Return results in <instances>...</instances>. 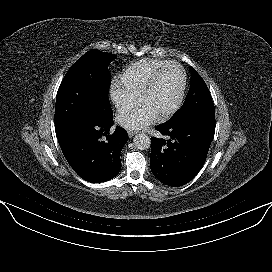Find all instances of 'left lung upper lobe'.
Returning a JSON list of instances; mask_svg holds the SVG:
<instances>
[{
	"mask_svg": "<svg viewBox=\"0 0 272 272\" xmlns=\"http://www.w3.org/2000/svg\"><path fill=\"white\" fill-rule=\"evenodd\" d=\"M191 71V85L181 109L166 123H181L191 118L215 117V108L211 94L202 77L194 68Z\"/></svg>",
	"mask_w": 272,
	"mask_h": 272,
	"instance_id": "obj_1",
	"label": "left lung upper lobe"
}]
</instances>
